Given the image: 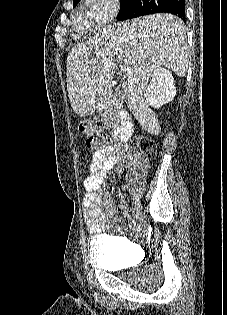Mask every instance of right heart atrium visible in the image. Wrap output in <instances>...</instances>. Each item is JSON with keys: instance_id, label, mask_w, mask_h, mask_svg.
I'll return each instance as SVG.
<instances>
[{"instance_id": "d8ad5b80", "label": "right heart atrium", "mask_w": 227, "mask_h": 315, "mask_svg": "<svg viewBox=\"0 0 227 315\" xmlns=\"http://www.w3.org/2000/svg\"><path fill=\"white\" fill-rule=\"evenodd\" d=\"M85 3L93 24L99 28L111 23L120 8L119 0H85Z\"/></svg>"}]
</instances>
